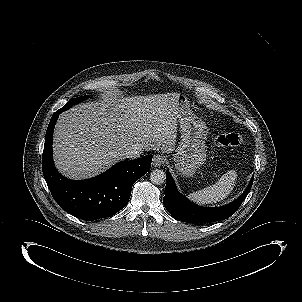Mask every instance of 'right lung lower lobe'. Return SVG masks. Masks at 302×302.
<instances>
[{
	"label": "right lung lower lobe",
	"mask_w": 302,
	"mask_h": 302,
	"mask_svg": "<svg viewBox=\"0 0 302 302\" xmlns=\"http://www.w3.org/2000/svg\"><path fill=\"white\" fill-rule=\"evenodd\" d=\"M59 113H54L48 125L42 158L43 175L53 198L64 211L86 221L114 215L127 205L133 184L150 170L152 156L121 161L88 180L67 179L56 170L52 158Z\"/></svg>",
	"instance_id": "1"
}]
</instances>
